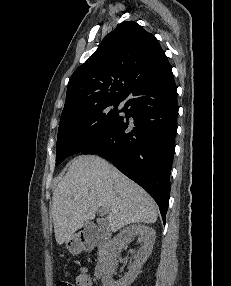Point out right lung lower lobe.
Listing matches in <instances>:
<instances>
[{
  "label": "right lung lower lobe",
  "instance_id": "98d812e1",
  "mask_svg": "<svg viewBox=\"0 0 231 286\" xmlns=\"http://www.w3.org/2000/svg\"><path fill=\"white\" fill-rule=\"evenodd\" d=\"M124 100L126 116H121L82 154H98L110 160L154 198L164 221L178 115L172 70L160 79L136 84Z\"/></svg>",
  "mask_w": 231,
  "mask_h": 286
}]
</instances>
